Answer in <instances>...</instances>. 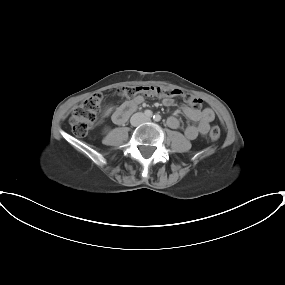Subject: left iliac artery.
Masks as SVG:
<instances>
[{
	"label": "left iliac artery",
	"instance_id": "1",
	"mask_svg": "<svg viewBox=\"0 0 285 285\" xmlns=\"http://www.w3.org/2000/svg\"><path fill=\"white\" fill-rule=\"evenodd\" d=\"M153 119H154V121L158 122V121L161 120V116L158 115V114H155V115L153 116Z\"/></svg>",
	"mask_w": 285,
	"mask_h": 285
}]
</instances>
